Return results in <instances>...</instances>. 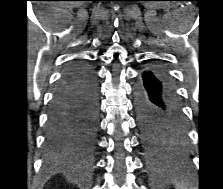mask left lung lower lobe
I'll return each mask as SVG.
<instances>
[{
  "instance_id": "left-lung-lower-lobe-1",
  "label": "left lung lower lobe",
  "mask_w": 223,
  "mask_h": 189,
  "mask_svg": "<svg viewBox=\"0 0 223 189\" xmlns=\"http://www.w3.org/2000/svg\"><path fill=\"white\" fill-rule=\"evenodd\" d=\"M139 124L162 127L185 138V122L175 85L166 70L155 64L144 70L135 87Z\"/></svg>"
}]
</instances>
